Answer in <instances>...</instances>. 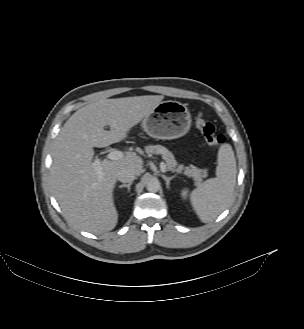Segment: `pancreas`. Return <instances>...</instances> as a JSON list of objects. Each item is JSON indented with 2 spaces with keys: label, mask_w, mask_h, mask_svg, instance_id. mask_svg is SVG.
<instances>
[{
  "label": "pancreas",
  "mask_w": 304,
  "mask_h": 329,
  "mask_svg": "<svg viewBox=\"0 0 304 329\" xmlns=\"http://www.w3.org/2000/svg\"><path fill=\"white\" fill-rule=\"evenodd\" d=\"M145 152L147 154L154 153L162 155L166 162V169L168 171L183 173L184 175L192 178L195 185H199L203 178L207 177V169H199L194 165L189 167H184L183 164H178L173 156V154L165 147L161 145H148L145 147Z\"/></svg>",
  "instance_id": "1"
}]
</instances>
